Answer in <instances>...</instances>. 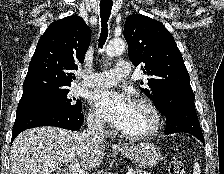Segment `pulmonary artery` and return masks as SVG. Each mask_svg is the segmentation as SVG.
I'll use <instances>...</instances> for the list:
<instances>
[{
  "label": "pulmonary artery",
  "mask_w": 224,
  "mask_h": 174,
  "mask_svg": "<svg viewBox=\"0 0 224 174\" xmlns=\"http://www.w3.org/2000/svg\"><path fill=\"white\" fill-rule=\"evenodd\" d=\"M130 72V64L125 61H120L111 70L94 73L91 75H83V81L81 84L87 87L110 86L126 78Z\"/></svg>",
  "instance_id": "pulmonary-artery-1"
}]
</instances>
